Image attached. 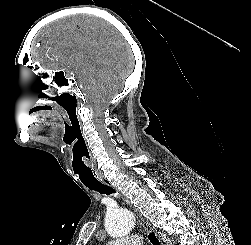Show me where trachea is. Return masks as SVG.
Returning a JSON list of instances; mask_svg holds the SVG:
<instances>
[{
  "instance_id": "obj_1",
  "label": "trachea",
  "mask_w": 251,
  "mask_h": 245,
  "mask_svg": "<svg viewBox=\"0 0 251 245\" xmlns=\"http://www.w3.org/2000/svg\"><path fill=\"white\" fill-rule=\"evenodd\" d=\"M85 185L89 189L95 190V191L99 192L100 194H107L108 195V194L114 193V190L111 187H109L101 182L86 183ZM149 240L153 245H160L159 240L157 239L156 235L153 232L149 234Z\"/></svg>"
}]
</instances>
